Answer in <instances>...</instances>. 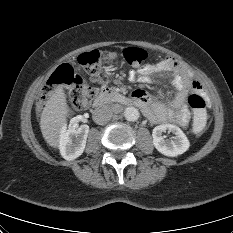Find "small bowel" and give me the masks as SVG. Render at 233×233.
<instances>
[{
    "label": "small bowel",
    "mask_w": 233,
    "mask_h": 233,
    "mask_svg": "<svg viewBox=\"0 0 233 233\" xmlns=\"http://www.w3.org/2000/svg\"><path fill=\"white\" fill-rule=\"evenodd\" d=\"M131 81L153 83L162 79H169L178 89V93L169 103L153 102L149 94L143 90H135L133 101L140 106L147 116L156 123H171L186 126L190 119V110L186 101L188 92L202 93L201 83L172 57H166L154 64H146L128 74Z\"/></svg>",
    "instance_id": "small-bowel-1"
}]
</instances>
